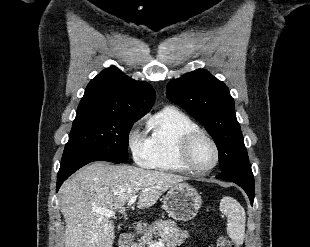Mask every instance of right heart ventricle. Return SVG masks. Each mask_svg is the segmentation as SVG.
<instances>
[{
    "label": "right heart ventricle",
    "instance_id": "right-heart-ventricle-1",
    "mask_svg": "<svg viewBox=\"0 0 310 247\" xmlns=\"http://www.w3.org/2000/svg\"><path fill=\"white\" fill-rule=\"evenodd\" d=\"M147 146L151 158L149 168L185 172L179 156L182 138L200 130L188 115L174 107H165L148 121Z\"/></svg>",
    "mask_w": 310,
    "mask_h": 247
}]
</instances>
